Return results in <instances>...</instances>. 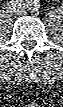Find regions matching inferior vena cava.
I'll return each instance as SVG.
<instances>
[{
  "label": "inferior vena cava",
  "instance_id": "1",
  "mask_svg": "<svg viewBox=\"0 0 63 107\" xmlns=\"http://www.w3.org/2000/svg\"><path fill=\"white\" fill-rule=\"evenodd\" d=\"M7 11L14 15H19L25 12V5L21 1H10L7 3Z\"/></svg>",
  "mask_w": 63,
  "mask_h": 107
}]
</instances>
